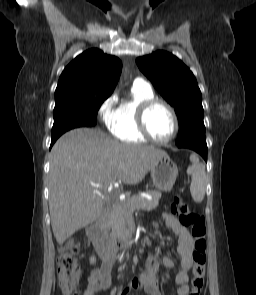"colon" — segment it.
<instances>
[{
    "mask_svg": "<svg viewBox=\"0 0 256 295\" xmlns=\"http://www.w3.org/2000/svg\"><path fill=\"white\" fill-rule=\"evenodd\" d=\"M171 211L179 217L180 222L191 227L194 240L192 260L193 270L189 295H202L205 285L207 240L205 219L194 213L180 196H175ZM80 245L76 240H70L61 249L58 257L59 285L63 295H78L80 267L77 255Z\"/></svg>",
    "mask_w": 256,
    "mask_h": 295,
    "instance_id": "1",
    "label": "colon"
}]
</instances>
